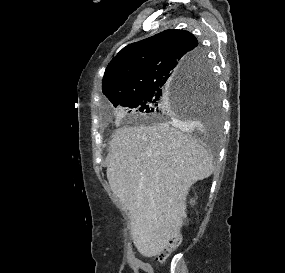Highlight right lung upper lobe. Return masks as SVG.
Segmentation results:
<instances>
[{
  "instance_id": "right-lung-upper-lobe-1",
  "label": "right lung upper lobe",
  "mask_w": 285,
  "mask_h": 273,
  "mask_svg": "<svg viewBox=\"0 0 285 273\" xmlns=\"http://www.w3.org/2000/svg\"><path fill=\"white\" fill-rule=\"evenodd\" d=\"M205 54L193 34L169 29L123 48L106 68L103 94L121 103L158 85L200 72Z\"/></svg>"
}]
</instances>
